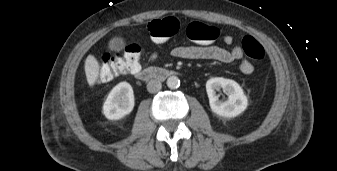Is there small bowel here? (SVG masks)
<instances>
[{"mask_svg":"<svg viewBox=\"0 0 337 171\" xmlns=\"http://www.w3.org/2000/svg\"><path fill=\"white\" fill-rule=\"evenodd\" d=\"M226 45L233 43L230 35L223 37ZM173 57L187 60H214L222 63H232L240 61L239 69L243 74H251L254 71L253 64L243 57L242 49L238 46L224 48L217 45H178L171 51ZM158 58V53L153 51L148 62H154Z\"/></svg>","mask_w":337,"mask_h":171,"instance_id":"small-bowel-1","label":"small bowel"}]
</instances>
